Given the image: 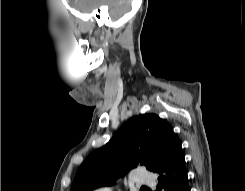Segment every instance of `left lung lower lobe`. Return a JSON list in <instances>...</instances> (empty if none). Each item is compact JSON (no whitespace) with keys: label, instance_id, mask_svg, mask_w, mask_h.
I'll use <instances>...</instances> for the list:
<instances>
[{"label":"left lung lower lobe","instance_id":"1","mask_svg":"<svg viewBox=\"0 0 245 191\" xmlns=\"http://www.w3.org/2000/svg\"><path fill=\"white\" fill-rule=\"evenodd\" d=\"M157 174L159 184L156 191H190L182 148H179L170 163Z\"/></svg>","mask_w":245,"mask_h":191}]
</instances>
